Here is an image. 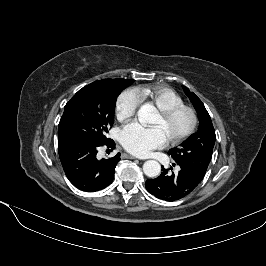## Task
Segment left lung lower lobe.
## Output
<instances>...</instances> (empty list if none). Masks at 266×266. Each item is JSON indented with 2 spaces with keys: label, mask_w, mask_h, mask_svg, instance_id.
Listing matches in <instances>:
<instances>
[{
  "label": "left lung lower lobe",
  "mask_w": 266,
  "mask_h": 266,
  "mask_svg": "<svg viewBox=\"0 0 266 266\" xmlns=\"http://www.w3.org/2000/svg\"><path fill=\"white\" fill-rule=\"evenodd\" d=\"M179 166L178 174H168V170L163 168L160 176L147 180L145 184L147 191L159 199L170 202L190 194L202 179L195 176L186 167Z\"/></svg>",
  "instance_id": "0a47b994"
}]
</instances>
